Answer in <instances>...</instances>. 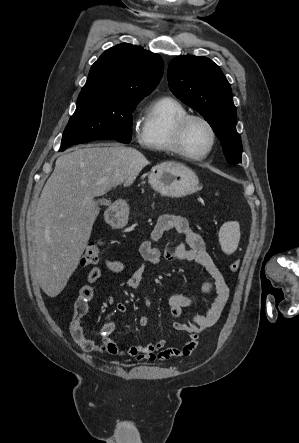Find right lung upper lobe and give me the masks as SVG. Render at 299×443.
<instances>
[{
  "mask_svg": "<svg viewBox=\"0 0 299 443\" xmlns=\"http://www.w3.org/2000/svg\"><path fill=\"white\" fill-rule=\"evenodd\" d=\"M163 68L158 54L122 43L106 50L91 66L80 95L99 94L141 101L158 85Z\"/></svg>",
  "mask_w": 299,
  "mask_h": 443,
  "instance_id": "right-lung-upper-lobe-1",
  "label": "right lung upper lobe"
}]
</instances>
